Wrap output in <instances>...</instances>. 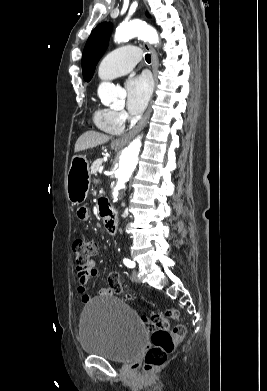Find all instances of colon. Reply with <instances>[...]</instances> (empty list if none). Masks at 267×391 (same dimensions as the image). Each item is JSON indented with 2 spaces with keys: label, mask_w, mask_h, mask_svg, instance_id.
Returning <instances> with one entry per match:
<instances>
[{
  "label": "colon",
  "mask_w": 267,
  "mask_h": 391,
  "mask_svg": "<svg viewBox=\"0 0 267 391\" xmlns=\"http://www.w3.org/2000/svg\"><path fill=\"white\" fill-rule=\"evenodd\" d=\"M72 249L75 254L77 269L87 270L91 267L93 258L97 255L98 245L94 240L76 239L73 242ZM108 284V289L112 293L118 294L122 291L117 272L109 273ZM179 317L180 314L177 309H169L165 313L150 312L144 317L152 341L144 357V369L146 371H152L163 365L185 336L186 329L181 324L170 329L169 319L178 320Z\"/></svg>",
  "instance_id": "1"
}]
</instances>
